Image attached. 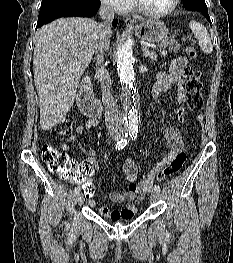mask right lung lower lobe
<instances>
[{
    "label": "right lung lower lobe",
    "instance_id": "1",
    "mask_svg": "<svg viewBox=\"0 0 233 263\" xmlns=\"http://www.w3.org/2000/svg\"><path fill=\"white\" fill-rule=\"evenodd\" d=\"M100 4L101 3L99 0H83L77 5L76 9L73 12L69 13L68 15L59 16V17H70V16L91 17L97 13L98 8L100 7ZM56 18H58V17H56ZM56 18H54V19H56ZM54 19L49 20V21L44 22V23H37L36 29L41 27L44 24H47V23L53 21ZM117 23H118V20L114 19L113 20V26L116 27Z\"/></svg>",
    "mask_w": 233,
    "mask_h": 263
}]
</instances>
